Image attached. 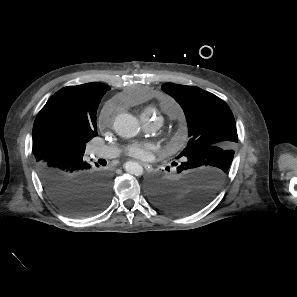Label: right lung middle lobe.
Listing matches in <instances>:
<instances>
[{
  "label": "right lung middle lobe",
  "instance_id": "dd1d6c3e",
  "mask_svg": "<svg viewBox=\"0 0 297 297\" xmlns=\"http://www.w3.org/2000/svg\"><path fill=\"white\" fill-rule=\"evenodd\" d=\"M84 145V144H83ZM59 147L61 148V149H70V148H73L74 147V144H72L71 142H70V140L69 139H66V138H62V139H60V141H59ZM84 149L85 148H81V147H79V148H76V150H79V151H84Z\"/></svg>",
  "mask_w": 297,
  "mask_h": 297
}]
</instances>
